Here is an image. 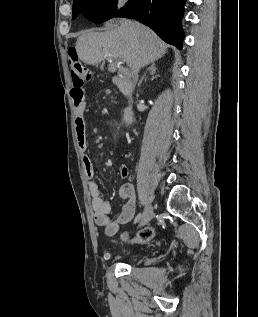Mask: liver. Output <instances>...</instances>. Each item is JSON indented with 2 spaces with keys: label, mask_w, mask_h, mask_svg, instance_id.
I'll use <instances>...</instances> for the list:
<instances>
[{
  "label": "liver",
  "mask_w": 258,
  "mask_h": 317,
  "mask_svg": "<svg viewBox=\"0 0 258 317\" xmlns=\"http://www.w3.org/2000/svg\"><path fill=\"white\" fill-rule=\"evenodd\" d=\"M113 22L119 26L105 32L85 30L78 36L75 48L80 60L87 64H98L103 58H122L130 68L136 70L138 64L146 66L164 54L165 42L149 26L130 18L109 20L108 24ZM108 70H117L115 62L109 64ZM114 80L117 82V78Z\"/></svg>",
  "instance_id": "6515ba94"
}]
</instances>
